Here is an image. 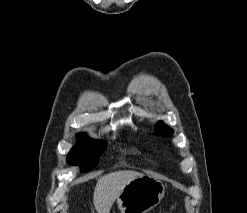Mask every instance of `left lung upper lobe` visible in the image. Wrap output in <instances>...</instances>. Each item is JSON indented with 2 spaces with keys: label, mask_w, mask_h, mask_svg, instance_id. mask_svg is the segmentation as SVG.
<instances>
[{
  "label": "left lung upper lobe",
  "mask_w": 247,
  "mask_h": 213,
  "mask_svg": "<svg viewBox=\"0 0 247 213\" xmlns=\"http://www.w3.org/2000/svg\"><path fill=\"white\" fill-rule=\"evenodd\" d=\"M155 133L164 137H168L173 134V130L165 125L163 122H158L155 126Z\"/></svg>",
  "instance_id": "obj_1"
}]
</instances>
